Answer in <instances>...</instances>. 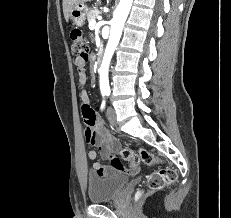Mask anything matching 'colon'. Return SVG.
Listing matches in <instances>:
<instances>
[{"label": "colon", "mask_w": 231, "mask_h": 218, "mask_svg": "<svg viewBox=\"0 0 231 218\" xmlns=\"http://www.w3.org/2000/svg\"><path fill=\"white\" fill-rule=\"evenodd\" d=\"M70 43L71 50L76 56H84V58H88L89 46L81 29L73 28L70 31ZM120 155L132 168H136L141 162L146 165H156L159 162L152 153L145 149L135 152L132 149L123 148L120 150ZM111 164L114 167H119L121 162L118 158H115L112 160ZM176 178L177 174L175 170L171 168H160L148 175L146 183L150 190H159L173 184ZM143 193V190H138L136 198H140Z\"/></svg>", "instance_id": "5ec220e1"}]
</instances>
